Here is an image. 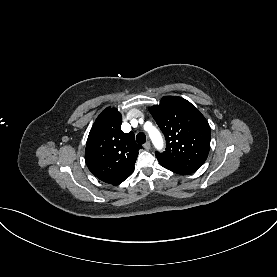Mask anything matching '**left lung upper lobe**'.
I'll return each instance as SVG.
<instances>
[{
  "mask_svg": "<svg viewBox=\"0 0 277 277\" xmlns=\"http://www.w3.org/2000/svg\"><path fill=\"white\" fill-rule=\"evenodd\" d=\"M150 112L166 139V151L156 153L161 166L175 173H192L206 161L210 150V126L187 100L165 96Z\"/></svg>",
  "mask_w": 277,
  "mask_h": 277,
  "instance_id": "obj_1",
  "label": "left lung upper lobe"
}]
</instances>
